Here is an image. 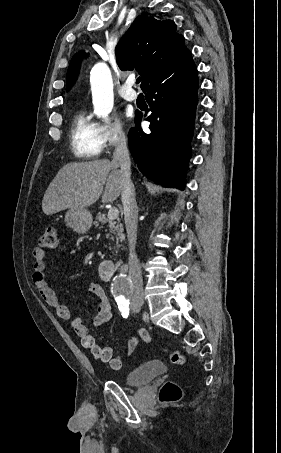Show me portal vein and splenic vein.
Segmentation results:
<instances>
[{"mask_svg": "<svg viewBox=\"0 0 281 453\" xmlns=\"http://www.w3.org/2000/svg\"><path fill=\"white\" fill-rule=\"evenodd\" d=\"M118 214V208H116V206H112V208H109L107 216L109 220H114V218H118Z\"/></svg>", "mask_w": 281, "mask_h": 453, "instance_id": "obj_1", "label": "portal vein and splenic vein"}]
</instances>
